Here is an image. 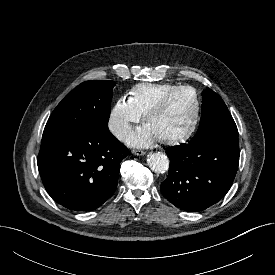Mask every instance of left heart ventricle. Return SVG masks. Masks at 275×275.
Returning <instances> with one entry per match:
<instances>
[{
  "instance_id": "b2bd125f",
  "label": "left heart ventricle",
  "mask_w": 275,
  "mask_h": 275,
  "mask_svg": "<svg viewBox=\"0 0 275 275\" xmlns=\"http://www.w3.org/2000/svg\"><path fill=\"white\" fill-rule=\"evenodd\" d=\"M195 109L193 92L181 91L171 97L166 107L153 116L148 125L158 139L169 138L183 133L189 126Z\"/></svg>"
}]
</instances>
